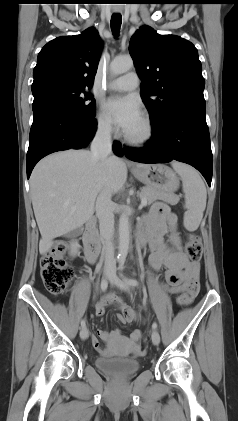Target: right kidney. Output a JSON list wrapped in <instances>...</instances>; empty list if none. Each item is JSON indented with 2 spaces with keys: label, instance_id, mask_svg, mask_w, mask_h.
Masks as SVG:
<instances>
[{
  "label": "right kidney",
  "instance_id": "ca27d5eb",
  "mask_svg": "<svg viewBox=\"0 0 238 421\" xmlns=\"http://www.w3.org/2000/svg\"><path fill=\"white\" fill-rule=\"evenodd\" d=\"M79 251V244L77 242H72L71 243V255L76 256L78 254Z\"/></svg>",
  "mask_w": 238,
  "mask_h": 421
}]
</instances>
